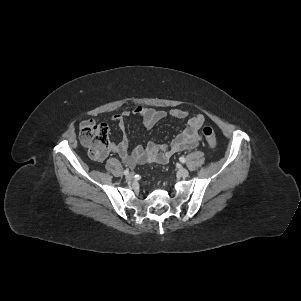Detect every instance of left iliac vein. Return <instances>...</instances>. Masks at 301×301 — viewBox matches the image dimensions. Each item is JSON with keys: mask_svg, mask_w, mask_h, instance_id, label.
<instances>
[{"mask_svg": "<svg viewBox=\"0 0 301 301\" xmlns=\"http://www.w3.org/2000/svg\"><path fill=\"white\" fill-rule=\"evenodd\" d=\"M178 175H179L180 177L186 178V177H188L189 172H188L187 169L181 167V168H179V170H178Z\"/></svg>", "mask_w": 301, "mask_h": 301, "instance_id": "4c4485c4", "label": "left iliac vein"}]
</instances>
